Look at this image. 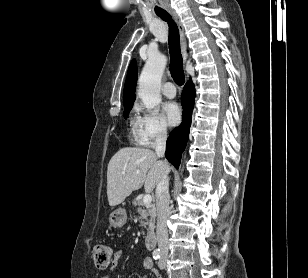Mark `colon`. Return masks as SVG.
Segmentation results:
<instances>
[{
	"label": "colon",
	"instance_id": "obj_1",
	"mask_svg": "<svg viewBox=\"0 0 308 278\" xmlns=\"http://www.w3.org/2000/svg\"><path fill=\"white\" fill-rule=\"evenodd\" d=\"M113 251L105 244H98L93 250V260L98 269L105 270L112 263Z\"/></svg>",
	"mask_w": 308,
	"mask_h": 278
}]
</instances>
